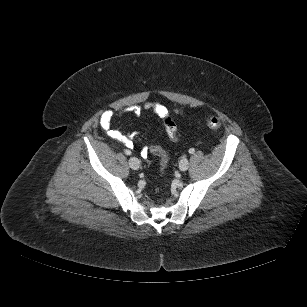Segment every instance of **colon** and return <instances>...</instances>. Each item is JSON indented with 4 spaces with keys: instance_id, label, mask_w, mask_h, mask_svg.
<instances>
[{
    "instance_id": "obj_1",
    "label": "colon",
    "mask_w": 307,
    "mask_h": 307,
    "mask_svg": "<svg viewBox=\"0 0 307 307\" xmlns=\"http://www.w3.org/2000/svg\"><path fill=\"white\" fill-rule=\"evenodd\" d=\"M163 121H164L165 130H166L168 137L172 140H177V127L172 117L169 115H166L163 118ZM204 121H205V124L211 129H218L222 124L221 119L214 115L205 116ZM149 149L152 154H154L155 156L159 158L161 169L162 170L165 169L167 162H168V157H167L166 152L163 150V148L155 143H152Z\"/></svg>"
}]
</instances>
